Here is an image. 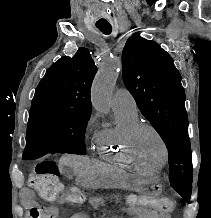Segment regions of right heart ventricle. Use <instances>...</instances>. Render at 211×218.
<instances>
[{
    "instance_id": "e07e8e85",
    "label": "right heart ventricle",
    "mask_w": 211,
    "mask_h": 218,
    "mask_svg": "<svg viewBox=\"0 0 211 218\" xmlns=\"http://www.w3.org/2000/svg\"><path fill=\"white\" fill-rule=\"evenodd\" d=\"M114 109L117 124L100 132L96 139L97 149H93V154L104 157V162H110V165H121V169H135L126 148V132L131 125L139 121L138 113L122 108Z\"/></svg>"
}]
</instances>
